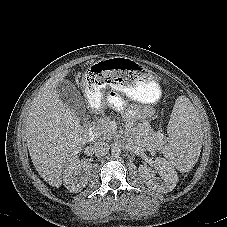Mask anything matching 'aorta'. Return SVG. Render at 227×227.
Segmentation results:
<instances>
[{
  "instance_id": "1",
  "label": "aorta",
  "mask_w": 227,
  "mask_h": 227,
  "mask_svg": "<svg viewBox=\"0 0 227 227\" xmlns=\"http://www.w3.org/2000/svg\"><path fill=\"white\" fill-rule=\"evenodd\" d=\"M120 154H121V149H120L119 146H113V147L111 148V155H112L113 157H119Z\"/></svg>"
}]
</instances>
